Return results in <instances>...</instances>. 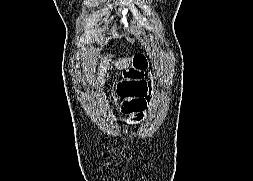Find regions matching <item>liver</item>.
Instances as JSON below:
<instances>
[{"label":"liver","mask_w":253,"mask_h":181,"mask_svg":"<svg viewBox=\"0 0 253 181\" xmlns=\"http://www.w3.org/2000/svg\"><path fill=\"white\" fill-rule=\"evenodd\" d=\"M96 56H98V52L96 50H94L93 52L84 53L83 58L85 59V62H84L85 72L89 70L90 68L89 64L97 62ZM109 61H111V56H109V59L108 57H104V59L101 60L100 64L97 63V65H99V68H98L97 75L94 78H92V76L89 73L86 74L87 77L89 78V84H92L95 87H99V84L104 85L106 81L105 79L106 75H107V79L109 77L107 74V70L109 69ZM129 61H130V58L125 57L122 59H118V61H113L112 63L117 69H126L129 66Z\"/></svg>","instance_id":"obj_1"}]
</instances>
